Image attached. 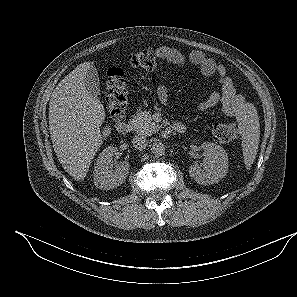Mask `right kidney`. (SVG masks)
Segmentation results:
<instances>
[{
    "label": "right kidney",
    "instance_id": "obj_1",
    "mask_svg": "<svg viewBox=\"0 0 297 297\" xmlns=\"http://www.w3.org/2000/svg\"><path fill=\"white\" fill-rule=\"evenodd\" d=\"M117 147L108 146L102 153H100L96 163L94 172V184L97 188L103 190H110L121 185L128 173L129 163L121 162L113 169L112 157L117 154Z\"/></svg>",
    "mask_w": 297,
    "mask_h": 297
}]
</instances>
